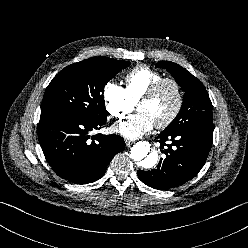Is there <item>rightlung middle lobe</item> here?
Wrapping results in <instances>:
<instances>
[{
	"mask_svg": "<svg viewBox=\"0 0 248 248\" xmlns=\"http://www.w3.org/2000/svg\"><path fill=\"white\" fill-rule=\"evenodd\" d=\"M129 64L123 60L94 57L65 67L46 88L41 115L107 119L104 86Z\"/></svg>",
	"mask_w": 248,
	"mask_h": 248,
	"instance_id": "1",
	"label": "right lung middle lobe"
}]
</instances>
